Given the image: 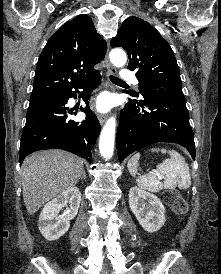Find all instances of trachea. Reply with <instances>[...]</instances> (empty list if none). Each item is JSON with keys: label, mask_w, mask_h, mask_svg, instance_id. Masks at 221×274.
I'll list each match as a JSON object with an SVG mask.
<instances>
[{"label": "trachea", "mask_w": 221, "mask_h": 274, "mask_svg": "<svg viewBox=\"0 0 221 274\" xmlns=\"http://www.w3.org/2000/svg\"><path fill=\"white\" fill-rule=\"evenodd\" d=\"M110 80L113 82V83H121V84H124L125 82L122 81L121 79L115 77V76H112L110 75Z\"/></svg>", "instance_id": "trachea-1"}]
</instances>
